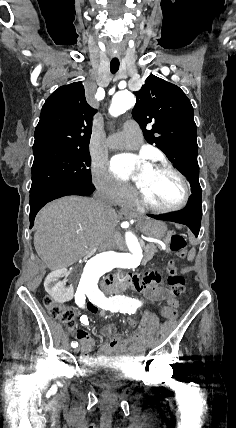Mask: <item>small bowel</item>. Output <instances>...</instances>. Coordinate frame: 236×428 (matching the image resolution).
Listing matches in <instances>:
<instances>
[{
    "label": "small bowel",
    "instance_id": "c3829d8e",
    "mask_svg": "<svg viewBox=\"0 0 236 428\" xmlns=\"http://www.w3.org/2000/svg\"><path fill=\"white\" fill-rule=\"evenodd\" d=\"M133 289L142 293L145 298L156 303L166 300L170 305H176V300L161 286V277L155 273H149L139 278ZM101 316L106 315V311H100ZM102 335L106 341L99 348L96 356L91 355L94 341L84 330H77L76 337L82 345L80 359L82 363L89 367H95L101 360H136L142 356L145 343V329L142 327L137 333L122 337L116 334L113 325H106L102 329Z\"/></svg>",
    "mask_w": 236,
    "mask_h": 428
}]
</instances>
